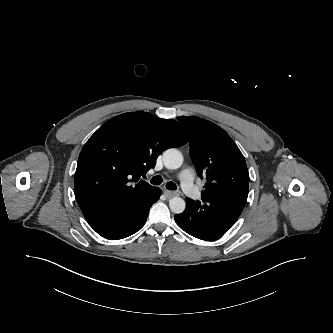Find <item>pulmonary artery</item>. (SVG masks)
Instances as JSON below:
<instances>
[{
    "instance_id": "1",
    "label": "pulmonary artery",
    "mask_w": 333,
    "mask_h": 333,
    "mask_svg": "<svg viewBox=\"0 0 333 333\" xmlns=\"http://www.w3.org/2000/svg\"><path fill=\"white\" fill-rule=\"evenodd\" d=\"M181 181L182 189L190 196H197L199 194L198 188L194 184V172L192 169L187 168L181 171L178 175Z\"/></svg>"
}]
</instances>
